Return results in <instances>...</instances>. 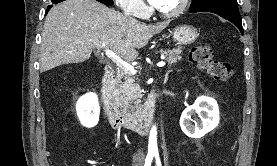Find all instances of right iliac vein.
Instances as JSON below:
<instances>
[{"label":"right iliac vein","mask_w":277,"mask_h":166,"mask_svg":"<svg viewBox=\"0 0 277 166\" xmlns=\"http://www.w3.org/2000/svg\"><path fill=\"white\" fill-rule=\"evenodd\" d=\"M134 166H141V164L140 163H136Z\"/></svg>","instance_id":"63e3f726"}]
</instances>
